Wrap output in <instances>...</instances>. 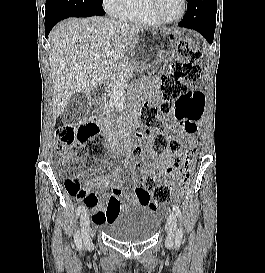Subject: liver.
Wrapping results in <instances>:
<instances>
[{"instance_id":"6515ba94","label":"liver","mask_w":265,"mask_h":273,"mask_svg":"<svg viewBox=\"0 0 265 273\" xmlns=\"http://www.w3.org/2000/svg\"><path fill=\"white\" fill-rule=\"evenodd\" d=\"M143 29L141 24L99 16L67 19L53 28L49 58L55 119L75 93L88 94L109 80ZM96 54H100L97 59Z\"/></svg>"}]
</instances>
